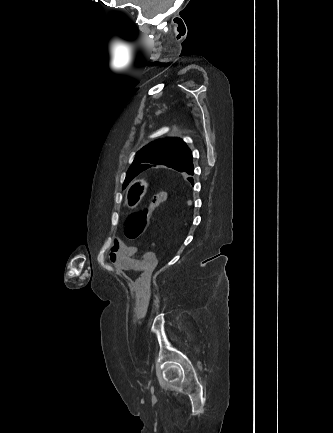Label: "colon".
Returning a JSON list of instances; mask_svg holds the SVG:
<instances>
[{
	"instance_id": "5ec220e1",
	"label": "colon",
	"mask_w": 333,
	"mask_h": 433,
	"mask_svg": "<svg viewBox=\"0 0 333 433\" xmlns=\"http://www.w3.org/2000/svg\"><path fill=\"white\" fill-rule=\"evenodd\" d=\"M168 199V193L161 192L153 196L148 207L131 213L124 224V234L129 240L138 239L145 231L155 210Z\"/></svg>"
}]
</instances>
